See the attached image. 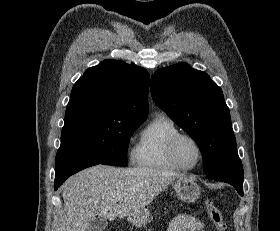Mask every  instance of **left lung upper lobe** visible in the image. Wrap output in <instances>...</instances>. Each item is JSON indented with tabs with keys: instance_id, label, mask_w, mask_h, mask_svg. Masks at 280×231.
<instances>
[{
	"instance_id": "obj_1",
	"label": "left lung upper lobe",
	"mask_w": 280,
	"mask_h": 231,
	"mask_svg": "<svg viewBox=\"0 0 280 231\" xmlns=\"http://www.w3.org/2000/svg\"><path fill=\"white\" fill-rule=\"evenodd\" d=\"M154 101L197 143L205 174L239 158L229 108L222 90L186 63L157 70L151 78Z\"/></svg>"
}]
</instances>
